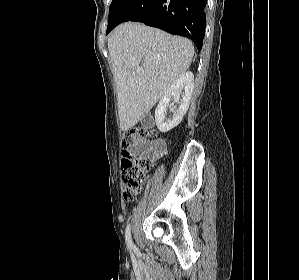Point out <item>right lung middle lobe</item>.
I'll return each mask as SVG.
<instances>
[{"mask_svg": "<svg viewBox=\"0 0 299 280\" xmlns=\"http://www.w3.org/2000/svg\"><path fill=\"white\" fill-rule=\"evenodd\" d=\"M128 0H112V3L109 7V17H108V27H107V32L111 29V27L114 24V20L116 16L118 15L119 11L121 8L124 6V4ZM106 32V33H107Z\"/></svg>", "mask_w": 299, "mask_h": 280, "instance_id": "dd1d6c3e", "label": "right lung middle lobe"}]
</instances>
